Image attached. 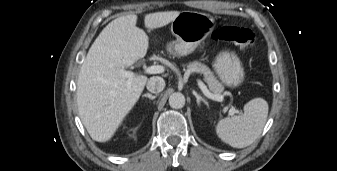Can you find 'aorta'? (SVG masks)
<instances>
[{
    "instance_id": "762f6f07",
    "label": "aorta",
    "mask_w": 337,
    "mask_h": 171,
    "mask_svg": "<svg viewBox=\"0 0 337 171\" xmlns=\"http://www.w3.org/2000/svg\"><path fill=\"white\" fill-rule=\"evenodd\" d=\"M169 105L171 108L180 109L185 105V97L180 92H174L169 97Z\"/></svg>"
}]
</instances>
